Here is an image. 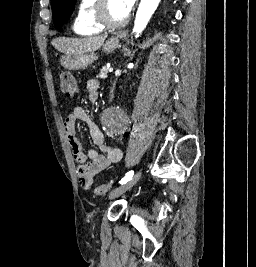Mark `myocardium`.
Returning a JSON list of instances; mask_svg holds the SVG:
<instances>
[{"mask_svg":"<svg viewBox=\"0 0 256 267\" xmlns=\"http://www.w3.org/2000/svg\"><path fill=\"white\" fill-rule=\"evenodd\" d=\"M112 0H97L96 9L93 14V20L97 26L106 31H112L117 26H112L107 18L108 5Z\"/></svg>","mask_w":256,"mask_h":267,"instance_id":"myocardium-1","label":"myocardium"}]
</instances>
